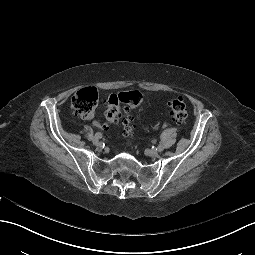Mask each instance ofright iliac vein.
I'll use <instances>...</instances> for the list:
<instances>
[{"label":"right iliac vein","instance_id":"1","mask_svg":"<svg viewBox=\"0 0 255 255\" xmlns=\"http://www.w3.org/2000/svg\"><path fill=\"white\" fill-rule=\"evenodd\" d=\"M93 144H94V145H99V144H100L99 138H98V137H94V138H93Z\"/></svg>","mask_w":255,"mask_h":255}]
</instances>
